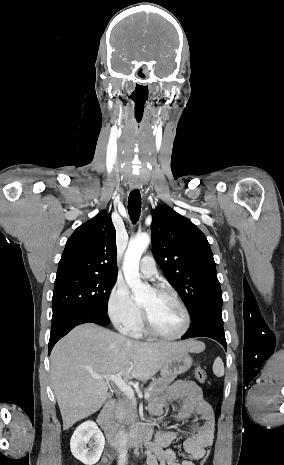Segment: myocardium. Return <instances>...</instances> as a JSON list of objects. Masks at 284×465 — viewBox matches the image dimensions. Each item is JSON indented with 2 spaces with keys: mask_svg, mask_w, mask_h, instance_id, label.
<instances>
[{
  "mask_svg": "<svg viewBox=\"0 0 284 465\" xmlns=\"http://www.w3.org/2000/svg\"><path fill=\"white\" fill-rule=\"evenodd\" d=\"M155 294L158 295V296L165 297V298L171 300L172 302H174L180 308V310L182 311L183 316H184V326H183L182 330L178 334L173 335V336H164V335L157 334L152 329V327H151V325L149 323V321H151L150 317L148 316L147 313H145L141 309V312H142L141 319H142V321L140 322V328L142 329V331L146 335H148L151 338L156 339V340L175 341V340L181 339L182 337H184L186 335V333L188 332V330L190 328V325H191V316H190V313H189L187 307L185 306V304L176 295H174L173 293H171L170 291H168L166 289H157V290H155Z\"/></svg>",
  "mask_w": 284,
  "mask_h": 465,
  "instance_id": "obj_1",
  "label": "myocardium"
}]
</instances>
